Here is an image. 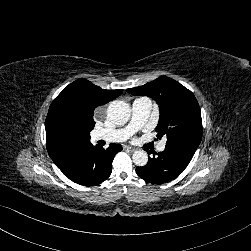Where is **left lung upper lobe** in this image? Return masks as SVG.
Returning a JSON list of instances; mask_svg holds the SVG:
<instances>
[{"label": "left lung upper lobe", "mask_w": 251, "mask_h": 251, "mask_svg": "<svg viewBox=\"0 0 251 251\" xmlns=\"http://www.w3.org/2000/svg\"><path fill=\"white\" fill-rule=\"evenodd\" d=\"M135 96H148L157 101L160 119L156 127L157 138L167 137L166 145L183 144L198 148L202 139V119L194 94L186 87L166 76L143 86L127 89Z\"/></svg>", "instance_id": "5c2ea615"}]
</instances>
